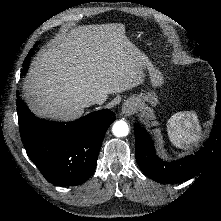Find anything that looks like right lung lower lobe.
Returning a JSON list of instances; mask_svg holds the SVG:
<instances>
[{"label":"right lung lower lobe","instance_id":"98d812e1","mask_svg":"<svg viewBox=\"0 0 221 221\" xmlns=\"http://www.w3.org/2000/svg\"><path fill=\"white\" fill-rule=\"evenodd\" d=\"M16 96L21 140L45 179L59 186L84 183L95 170L114 113L104 109L73 122H50L35 117L19 91Z\"/></svg>","mask_w":221,"mask_h":221}]
</instances>
